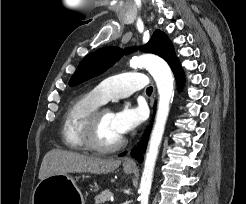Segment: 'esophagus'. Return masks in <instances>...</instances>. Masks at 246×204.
<instances>
[{"instance_id": "esophagus-1", "label": "esophagus", "mask_w": 246, "mask_h": 204, "mask_svg": "<svg viewBox=\"0 0 246 204\" xmlns=\"http://www.w3.org/2000/svg\"><path fill=\"white\" fill-rule=\"evenodd\" d=\"M124 166L128 167V168H133V167H135V162L132 158H128L125 160Z\"/></svg>"}]
</instances>
